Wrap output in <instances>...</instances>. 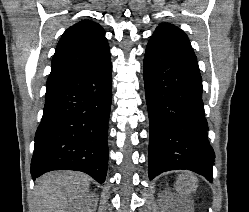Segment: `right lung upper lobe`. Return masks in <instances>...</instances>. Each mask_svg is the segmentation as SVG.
<instances>
[{"label":"right lung upper lobe","instance_id":"cb5924a9","mask_svg":"<svg viewBox=\"0 0 249 212\" xmlns=\"http://www.w3.org/2000/svg\"><path fill=\"white\" fill-rule=\"evenodd\" d=\"M108 56L109 45L101 25L80 21L69 27L58 42L47 83L87 70Z\"/></svg>","mask_w":249,"mask_h":212}]
</instances>
